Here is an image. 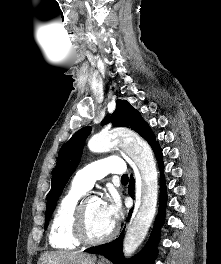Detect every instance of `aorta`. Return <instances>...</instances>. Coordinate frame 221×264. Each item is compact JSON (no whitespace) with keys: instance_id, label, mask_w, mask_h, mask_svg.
I'll list each match as a JSON object with an SVG mask.
<instances>
[{"instance_id":"obj_1","label":"aorta","mask_w":221,"mask_h":264,"mask_svg":"<svg viewBox=\"0 0 221 264\" xmlns=\"http://www.w3.org/2000/svg\"><path fill=\"white\" fill-rule=\"evenodd\" d=\"M116 143L121 145L139 169L136 185L139 206L128 225L123 243L124 255L129 257L145 239L155 216L158 198L157 169L150 146L134 135L119 134L114 137L110 133H99L90 139L88 146L92 150L104 151Z\"/></svg>"}]
</instances>
